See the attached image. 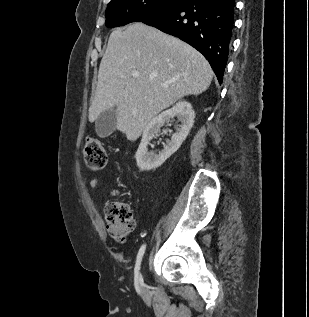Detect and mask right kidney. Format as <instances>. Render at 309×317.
<instances>
[{
	"mask_svg": "<svg viewBox=\"0 0 309 317\" xmlns=\"http://www.w3.org/2000/svg\"><path fill=\"white\" fill-rule=\"evenodd\" d=\"M174 117L178 118L181 125L176 128V132L172 135L171 139L164 145V149L155 154L148 152L147 146L149 142L159 136L160 128L169 123ZM195 113L192 106L187 101H179L171 109L163 111L161 114L153 118L142 134V140L136 152L135 158L137 165L141 171H150L160 167L174 152H176L183 141L189 134L190 129L193 126ZM163 133H167V129L163 130Z\"/></svg>",
	"mask_w": 309,
	"mask_h": 317,
	"instance_id": "obj_1",
	"label": "right kidney"
}]
</instances>
